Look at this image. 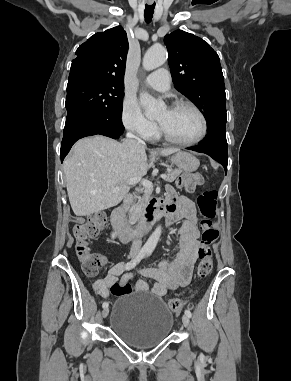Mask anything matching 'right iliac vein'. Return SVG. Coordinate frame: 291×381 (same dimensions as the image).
Returning <instances> with one entry per match:
<instances>
[{
  "mask_svg": "<svg viewBox=\"0 0 291 381\" xmlns=\"http://www.w3.org/2000/svg\"><path fill=\"white\" fill-rule=\"evenodd\" d=\"M109 314V309L108 308H104V310L102 311V316L103 318H106Z\"/></svg>",
  "mask_w": 291,
  "mask_h": 381,
  "instance_id": "1",
  "label": "right iliac vein"
}]
</instances>
